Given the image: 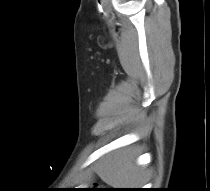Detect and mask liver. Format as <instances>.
<instances>
[{
  "label": "liver",
  "mask_w": 210,
  "mask_h": 191,
  "mask_svg": "<svg viewBox=\"0 0 210 191\" xmlns=\"http://www.w3.org/2000/svg\"><path fill=\"white\" fill-rule=\"evenodd\" d=\"M136 159L137 152L132 148L118 149L103 156L96 164L95 171L114 188L138 186L144 181V172Z\"/></svg>",
  "instance_id": "6515ba94"
}]
</instances>
